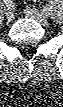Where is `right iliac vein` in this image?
I'll return each mask as SVG.
<instances>
[{
    "instance_id": "obj_1",
    "label": "right iliac vein",
    "mask_w": 63,
    "mask_h": 107,
    "mask_svg": "<svg viewBox=\"0 0 63 107\" xmlns=\"http://www.w3.org/2000/svg\"><path fill=\"white\" fill-rule=\"evenodd\" d=\"M6 20H7L8 22H11V21L14 20V14H13V12H12L11 10H8V11L6 12Z\"/></svg>"
}]
</instances>
